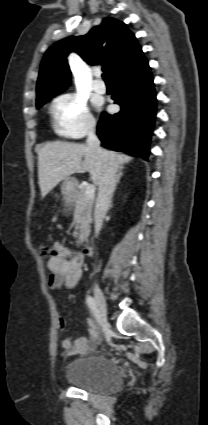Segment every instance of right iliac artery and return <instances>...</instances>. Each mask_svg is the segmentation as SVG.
Returning a JSON list of instances; mask_svg holds the SVG:
<instances>
[{
	"label": "right iliac artery",
	"instance_id": "82829eb1",
	"mask_svg": "<svg viewBox=\"0 0 208 425\" xmlns=\"http://www.w3.org/2000/svg\"><path fill=\"white\" fill-rule=\"evenodd\" d=\"M86 302L89 308L91 309V311L95 313L97 311V305H96L95 299L92 296H88L86 298Z\"/></svg>",
	"mask_w": 208,
	"mask_h": 425
}]
</instances>
